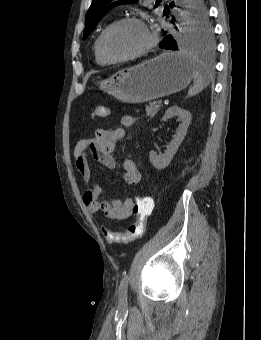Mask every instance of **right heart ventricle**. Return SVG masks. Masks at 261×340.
<instances>
[{"mask_svg":"<svg viewBox=\"0 0 261 340\" xmlns=\"http://www.w3.org/2000/svg\"><path fill=\"white\" fill-rule=\"evenodd\" d=\"M105 29V27L102 29V31ZM102 31L99 33V35L97 36V38L95 39L94 41V44H93V50H94V55H95V60H96V63L99 64V65H108L110 64L111 62L106 60L99 52V49H98V40H99V37L102 33Z\"/></svg>","mask_w":261,"mask_h":340,"instance_id":"1","label":"right heart ventricle"}]
</instances>
